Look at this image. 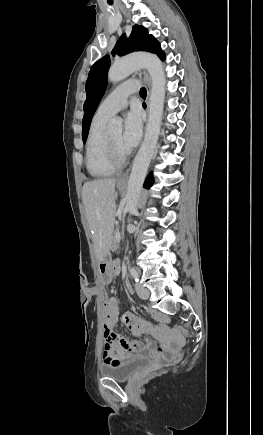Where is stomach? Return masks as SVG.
<instances>
[{
  "label": "stomach",
  "mask_w": 263,
  "mask_h": 435,
  "mask_svg": "<svg viewBox=\"0 0 263 435\" xmlns=\"http://www.w3.org/2000/svg\"><path fill=\"white\" fill-rule=\"evenodd\" d=\"M118 188L122 189L123 184L118 183ZM98 271L101 274L102 282H115L116 274L110 269V258L108 252L98 259Z\"/></svg>",
  "instance_id": "1"
}]
</instances>
